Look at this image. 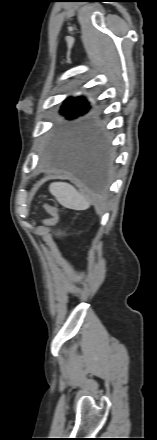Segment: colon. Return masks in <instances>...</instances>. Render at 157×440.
<instances>
[{
    "label": "colon",
    "instance_id": "1",
    "mask_svg": "<svg viewBox=\"0 0 157 440\" xmlns=\"http://www.w3.org/2000/svg\"><path fill=\"white\" fill-rule=\"evenodd\" d=\"M45 208L48 211V213L50 214V217L47 220H45V225L52 226V225L56 224V222L58 220L57 207L54 205H51V204H45Z\"/></svg>",
    "mask_w": 157,
    "mask_h": 440
}]
</instances>
